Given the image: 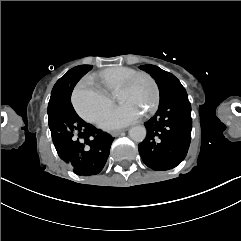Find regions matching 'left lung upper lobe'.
<instances>
[{
    "label": "left lung upper lobe",
    "mask_w": 241,
    "mask_h": 241,
    "mask_svg": "<svg viewBox=\"0 0 241 241\" xmlns=\"http://www.w3.org/2000/svg\"><path fill=\"white\" fill-rule=\"evenodd\" d=\"M140 68L155 79L160 91V100L168 97L171 93L185 90L180 81L171 73L166 72L154 65H143Z\"/></svg>",
    "instance_id": "obj_1"
}]
</instances>
